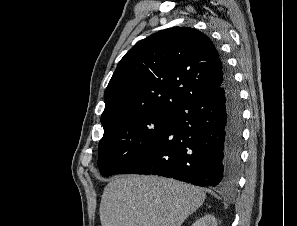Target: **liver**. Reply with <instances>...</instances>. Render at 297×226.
I'll list each match as a JSON object with an SVG mask.
<instances>
[{
  "instance_id": "6515ba94",
  "label": "liver",
  "mask_w": 297,
  "mask_h": 226,
  "mask_svg": "<svg viewBox=\"0 0 297 226\" xmlns=\"http://www.w3.org/2000/svg\"><path fill=\"white\" fill-rule=\"evenodd\" d=\"M198 187L159 176L116 177L105 187L102 226H181L205 201Z\"/></svg>"
}]
</instances>
